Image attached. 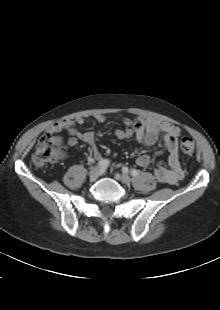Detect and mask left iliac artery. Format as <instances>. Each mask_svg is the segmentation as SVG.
Listing matches in <instances>:
<instances>
[{
  "instance_id": "44dca946",
  "label": "left iliac artery",
  "mask_w": 220,
  "mask_h": 310,
  "mask_svg": "<svg viewBox=\"0 0 220 310\" xmlns=\"http://www.w3.org/2000/svg\"><path fill=\"white\" fill-rule=\"evenodd\" d=\"M138 174H139V171H138V170H136V169L131 170V175H132L133 177L137 176Z\"/></svg>"
}]
</instances>
